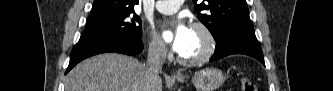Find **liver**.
Returning a JSON list of instances; mask_svg holds the SVG:
<instances>
[{
	"label": "liver",
	"instance_id": "obj_1",
	"mask_svg": "<svg viewBox=\"0 0 333 91\" xmlns=\"http://www.w3.org/2000/svg\"><path fill=\"white\" fill-rule=\"evenodd\" d=\"M65 91H162V80H149L145 64L108 53L78 64L66 78Z\"/></svg>",
	"mask_w": 333,
	"mask_h": 91
}]
</instances>
